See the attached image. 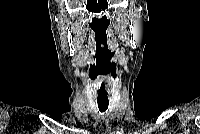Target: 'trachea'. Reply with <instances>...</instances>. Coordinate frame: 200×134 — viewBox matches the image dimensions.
<instances>
[{
	"label": "trachea",
	"instance_id": "obj_1",
	"mask_svg": "<svg viewBox=\"0 0 200 134\" xmlns=\"http://www.w3.org/2000/svg\"><path fill=\"white\" fill-rule=\"evenodd\" d=\"M109 102L108 101H98V108L100 112H105L108 108Z\"/></svg>",
	"mask_w": 200,
	"mask_h": 134
}]
</instances>
